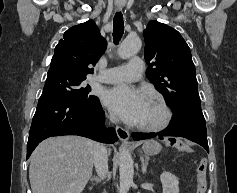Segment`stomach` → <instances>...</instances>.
Masks as SVG:
<instances>
[{
	"mask_svg": "<svg viewBox=\"0 0 237 193\" xmlns=\"http://www.w3.org/2000/svg\"><path fill=\"white\" fill-rule=\"evenodd\" d=\"M142 150L146 155H156L161 151V145L157 141L149 140L143 144Z\"/></svg>",
	"mask_w": 237,
	"mask_h": 193,
	"instance_id": "obj_1",
	"label": "stomach"
}]
</instances>
